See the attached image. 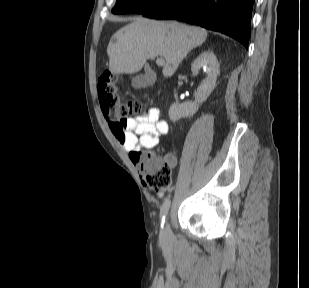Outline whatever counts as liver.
Listing matches in <instances>:
<instances>
[{"instance_id":"liver-1","label":"liver","mask_w":309,"mask_h":288,"mask_svg":"<svg viewBox=\"0 0 309 288\" xmlns=\"http://www.w3.org/2000/svg\"><path fill=\"white\" fill-rule=\"evenodd\" d=\"M207 36L200 27L136 18L110 40L109 71L115 75L136 73L148 59L161 56L165 59L163 76L171 77L187 54L203 44Z\"/></svg>"}]
</instances>
